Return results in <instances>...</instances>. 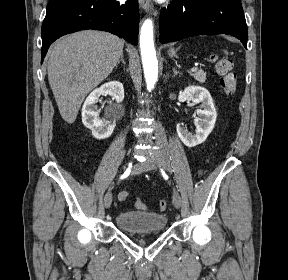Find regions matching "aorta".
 I'll list each match as a JSON object with an SVG mask.
<instances>
[{
	"label": "aorta",
	"mask_w": 288,
	"mask_h": 280,
	"mask_svg": "<svg viewBox=\"0 0 288 280\" xmlns=\"http://www.w3.org/2000/svg\"><path fill=\"white\" fill-rule=\"evenodd\" d=\"M140 50L147 89L151 91L158 78V61L154 47L153 23L145 20L140 31Z\"/></svg>",
	"instance_id": "762f6f07"
}]
</instances>
